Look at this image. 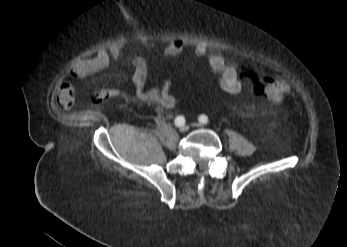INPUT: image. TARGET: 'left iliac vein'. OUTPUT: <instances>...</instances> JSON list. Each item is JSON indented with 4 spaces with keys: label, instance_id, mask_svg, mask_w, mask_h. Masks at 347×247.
I'll use <instances>...</instances> for the list:
<instances>
[{
    "label": "left iliac vein",
    "instance_id": "obj_1",
    "mask_svg": "<svg viewBox=\"0 0 347 247\" xmlns=\"http://www.w3.org/2000/svg\"><path fill=\"white\" fill-rule=\"evenodd\" d=\"M194 126L199 127V128L203 127V125L201 123H195Z\"/></svg>",
    "mask_w": 347,
    "mask_h": 247
}]
</instances>
